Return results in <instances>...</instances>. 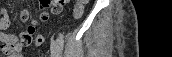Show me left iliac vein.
Masks as SVG:
<instances>
[{"mask_svg":"<svg viewBox=\"0 0 172 57\" xmlns=\"http://www.w3.org/2000/svg\"><path fill=\"white\" fill-rule=\"evenodd\" d=\"M51 56L52 57H60L59 54V46L56 40L51 41Z\"/></svg>","mask_w":172,"mask_h":57,"instance_id":"1","label":"left iliac vein"}]
</instances>
